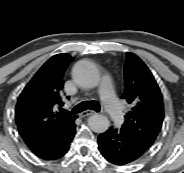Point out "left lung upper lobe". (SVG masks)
<instances>
[{
    "label": "left lung upper lobe",
    "instance_id": "1",
    "mask_svg": "<svg viewBox=\"0 0 184 173\" xmlns=\"http://www.w3.org/2000/svg\"><path fill=\"white\" fill-rule=\"evenodd\" d=\"M125 91L121 96L133 107L120 128L141 148L148 150L154 143L164 118L160 89L144 62L135 54H126Z\"/></svg>",
    "mask_w": 184,
    "mask_h": 173
}]
</instances>
